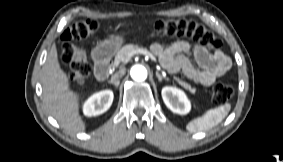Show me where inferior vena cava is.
<instances>
[{"label": "inferior vena cava", "mask_w": 283, "mask_h": 162, "mask_svg": "<svg viewBox=\"0 0 283 162\" xmlns=\"http://www.w3.org/2000/svg\"><path fill=\"white\" fill-rule=\"evenodd\" d=\"M125 72V69H121L120 71L116 72L111 76V81L120 82V78L125 74Z\"/></svg>", "instance_id": "602c4592"}]
</instances>
